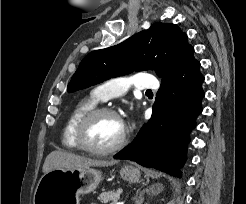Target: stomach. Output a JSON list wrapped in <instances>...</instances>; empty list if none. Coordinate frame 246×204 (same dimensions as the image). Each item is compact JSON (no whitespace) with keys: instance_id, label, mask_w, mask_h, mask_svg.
Here are the masks:
<instances>
[{"instance_id":"0dacf381","label":"stomach","mask_w":246,"mask_h":204,"mask_svg":"<svg viewBox=\"0 0 246 204\" xmlns=\"http://www.w3.org/2000/svg\"><path fill=\"white\" fill-rule=\"evenodd\" d=\"M120 176L136 183L141 173L137 167L126 165L121 168ZM101 180L102 172L91 167L51 170L40 178L33 204H79L80 195L94 192Z\"/></svg>"}]
</instances>
